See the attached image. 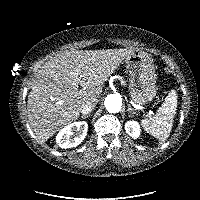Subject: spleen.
Listing matches in <instances>:
<instances>
[{
    "instance_id": "3e777b00",
    "label": "spleen",
    "mask_w": 200,
    "mask_h": 200,
    "mask_svg": "<svg viewBox=\"0 0 200 200\" xmlns=\"http://www.w3.org/2000/svg\"><path fill=\"white\" fill-rule=\"evenodd\" d=\"M177 108V94L172 90L165 102L157 110L156 115L141 121L144 130L160 141L168 139L174 122Z\"/></svg>"
}]
</instances>
